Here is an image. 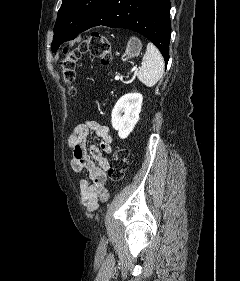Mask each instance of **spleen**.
<instances>
[{
	"label": "spleen",
	"instance_id": "3e777b00",
	"mask_svg": "<svg viewBox=\"0 0 240 281\" xmlns=\"http://www.w3.org/2000/svg\"><path fill=\"white\" fill-rule=\"evenodd\" d=\"M164 72V59L152 43H148L137 77L147 87H153Z\"/></svg>",
	"mask_w": 240,
	"mask_h": 281
}]
</instances>
